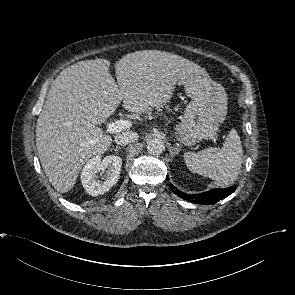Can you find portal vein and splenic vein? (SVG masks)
<instances>
[{
	"mask_svg": "<svg viewBox=\"0 0 295 295\" xmlns=\"http://www.w3.org/2000/svg\"><path fill=\"white\" fill-rule=\"evenodd\" d=\"M132 126L129 120H117L107 125L106 131L110 134L121 132Z\"/></svg>",
	"mask_w": 295,
	"mask_h": 295,
	"instance_id": "1",
	"label": "portal vein and splenic vein"
}]
</instances>
